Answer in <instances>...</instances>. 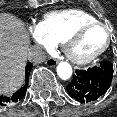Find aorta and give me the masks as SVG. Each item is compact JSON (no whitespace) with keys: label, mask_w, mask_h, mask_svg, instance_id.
<instances>
[{"label":"aorta","mask_w":117,"mask_h":117,"mask_svg":"<svg viewBox=\"0 0 117 117\" xmlns=\"http://www.w3.org/2000/svg\"><path fill=\"white\" fill-rule=\"evenodd\" d=\"M57 74L62 80H68L72 76V67L67 62H60L57 66Z\"/></svg>","instance_id":"762f6f07"}]
</instances>
